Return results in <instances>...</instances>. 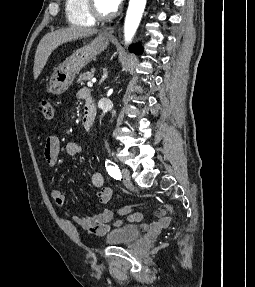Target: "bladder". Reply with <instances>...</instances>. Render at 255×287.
<instances>
[{
  "label": "bladder",
  "mask_w": 255,
  "mask_h": 287,
  "mask_svg": "<svg viewBox=\"0 0 255 287\" xmlns=\"http://www.w3.org/2000/svg\"><path fill=\"white\" fill-rule=\"evenodd\" d=\"M143 233V228L137 224H122L110 230L104 237L107 244H125L137 240Z\"/></svg>",
  "instance_id": "bladder-1"
}]
</instances>
